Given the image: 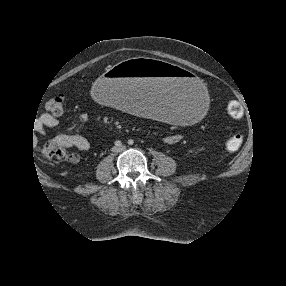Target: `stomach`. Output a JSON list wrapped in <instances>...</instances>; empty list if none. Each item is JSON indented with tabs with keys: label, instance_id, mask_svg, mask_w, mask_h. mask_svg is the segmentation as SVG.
Returning a JSON list of instances; mask_svg holds the SVG:
<instances>
[{
	"label": "stomach",
	"instance_id": "stomach-1",
	"mask_svg": "<svg viewBox=\"0 0 286 286\" xmlns=\"http://www.w3.org/2000/svg\"><path fill=\"white\" fill-rule=\"evenodd\" d=\"M89 93L100 106L120 108L175 125L200 120L209 105L204 83L178 67L146 57L124 60L94 79Z\"/></svg>",
	"mask_w": 286,
	"mask_h": 286
}]
</instances>
